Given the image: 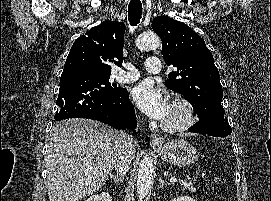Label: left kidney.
Returning <instances> with one entry per match:
<instances>
[{
  "label": "left kidney",
  "instance_id": "obj_1",
  "mask_svg": "<svg viewBox=\"0 0 271 201\" xmlns=\"http://www.w3.org/2000/svg\"><path fill=\"white\" fill-rule=\"evenodd\" d=\"M171 201H196V200L191 198L190 196H181V197L174 198Z\"/></svg>",
  "mask_w": 271,
  "mask_h": 201
}]
</instances>
